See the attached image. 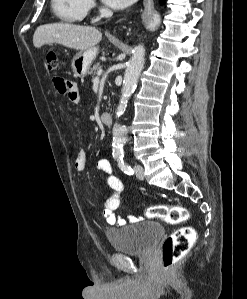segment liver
<instances>
[{
  "instance_id": "6515ba94",
  "label": "liver",
  "mask_w": 247,
  "mask_h": 299,
  "mask_svg": "<svg viewBox=\"0 0 247 299\" xmlns=\"http://www.w3.org/2000/svg\"><path fill=\"white\" fill-rule=\"evenodd\" d=\"M102 33L95 27L68 23H53L39 26L33 35V45L41 48L53 43L84 51L97 45Z\"/></svg>"
}]
</instances>
